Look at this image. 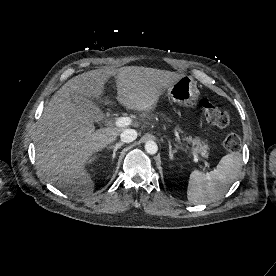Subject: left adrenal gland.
<instances>
[{"label": "left adrenal gland", "instance_id": "a2214340", "mask_svg": "<svg viewBox=\"0 0 276 276\" xmlns=\"http://www.w3.org/2000/svg\"><path fill=\"white\" fill-rule=\"evenodd\" d=\"M177 152V150H172V145L171 143L169 142V158L170 159H173L174 158V154Z\"/></svg>", "mask_w": 276, "mask_h": 276}]
</instances>
